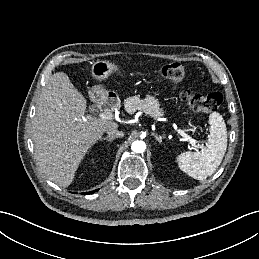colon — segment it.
Here are the masks:
<instances>
[{
  "label": "colon",
  "mask_w": 259,
  "mask_h": 259,
  "mask_svg": "<svg viewBox=\"0 0 259 259\" xmlns=\"http://www.w3.org/2000/svg\"><path fill=\"white\" fill-rule=\"evenodd\" d=\"M186 68L183 64L175 62L162 67L160 74L163 79L173 85H178L185 77ZM180 98L196 112L211 113L216 111L223 101L220 92H212L208 94H198L191 90H183L180 92Z\"/></svg>",
  "instance_id": "5ec220e1"
}]
</instances>
